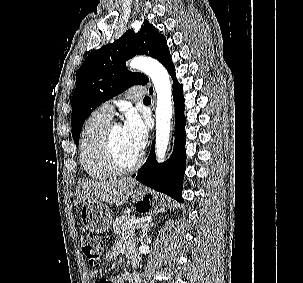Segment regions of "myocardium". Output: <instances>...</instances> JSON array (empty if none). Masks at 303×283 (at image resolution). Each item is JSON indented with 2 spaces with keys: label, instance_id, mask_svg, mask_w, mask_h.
Listing matches in <instances>:
<instances>
[{
  "label": "myocardium",
  "instance_id": "1",
  "mask_svg": "<svg viewBox=\"0 0 303 283\" xmlns=\"http://www.w3.org/2000/svg\"><path fill=\"white\" fill-rule=\"evenodd\" d=\"M120 126L117 122H109L100 140V157L104 166L114 175H123L136 170L143 160V155L138 154L137 158L130 165H122L115 154L113 145V130Z\"/></svg>",
  "mask_w": 303,
  "mask_h": 283
}]
</instances>
